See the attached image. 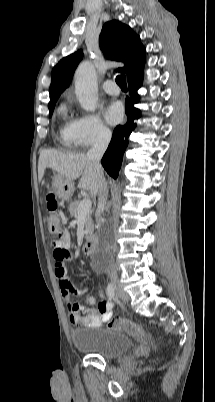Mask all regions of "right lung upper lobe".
<instances>
[{
	"label": "right lung upper lobe",
	"mask_w": 215,
	"mask_h": 402,
	"mask_svg": "<svg viewBox=\"0 0 215 402\" xmlns=\"http://www.w3.org/2000/svg\"><path fill=\"white\" fill-rule=\"evenodd\" d=\"M99 44L104 54L112 60L124 62L118 71L127 75L128 81L143 75L145 63V47L129 26L113 20L103 25ZM83 58L82 50L64 57L53 68L50 85V100L59 98L69 86L74 71Z\"/></svg>",
	"instance_id": "obj_1"
}]
</instances>
